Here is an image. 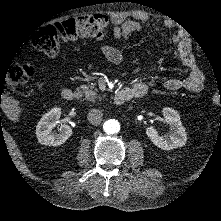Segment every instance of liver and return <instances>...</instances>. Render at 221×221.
<instances>
[{
    "mask_svg": "<svg viewBox=\"0 0 221 221\" xmlns=\"http://www.w3.org/2000/svg\"><path fill=\"white\" fill-rule=\"evenodd\" d=\"M18 103V101L12 98L4 99L1 103V108L3 112L13 122L19 121V114L21 112V109L18 106Z\"/></svg>",
    "mask_w": 221,
    "mask_h": 221,
    "instance_id": "1",
    "label": "liver"
}]
</instances>
